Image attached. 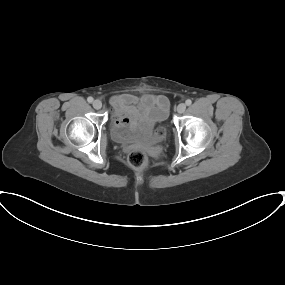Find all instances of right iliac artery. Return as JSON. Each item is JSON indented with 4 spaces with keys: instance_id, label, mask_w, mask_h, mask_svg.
I'll use <instances>...</instances> for the list:
<instances>
[{
    "instance_id": "1",
    "label": "right iliac artery",
    "mask_w": 285,
    "mask_h": 285,
    "mask_svg": "<svg viewBox=\"0 0 285 285\" xmlns=\"http://www.w3.org/2000/svg\"><path fill=\"white\" fill-rule=\"evenodd\" d=\"M87 101H88L89 103H92V102H93V98H92V97H88V98H87Z\"/></svg>"
}]
</instances>
